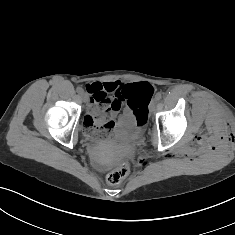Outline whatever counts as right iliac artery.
Segmentation results:
<instances>
[{
    "instance_id": "obj_1",
    "label": "right iliac artery",
    "mask_w": 235,
    "mask_h": 235,
    "mask_svg": "<svg viewBox=\"0 0 235 235\" xmlns=\"http://www.w3.org/2000/svg\"><path fill=\"white\" fill-rule=\"evenodd\" d=\"M77 93L82 94L83 93V89L81 87H77L76 89Z\"/></svg>"
}]
</instances>
